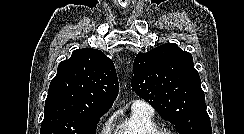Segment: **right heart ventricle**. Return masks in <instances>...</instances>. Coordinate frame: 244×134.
I'll list each match as a JSON object with an SVG mask.
<instances>
[{"label": "right heart ventricle", "mask_w": 244, "mask_h": 134, "mask_svg": "<svg viewBox=\"0 0 244 134\" xmlns=\"http://www.w3.org/2000/svg\"><path fill=\"white\" fill-rule=\"evenodd\" d=\"M157 127L152 114L132 109L130 116L116 126L113 134H151Z\"/></svg>", "instance_id": "1"}]
</instances>
